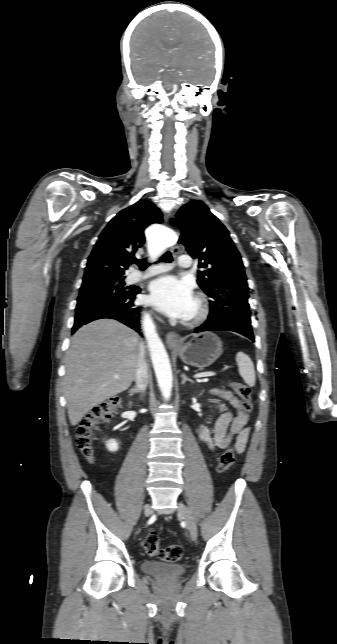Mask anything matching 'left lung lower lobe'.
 <instances>
[{"instance_id":"0a47b994","label":"left lung lower lobe","mask_w":337,"mask_h":644,"mask_svg":"<svg viewBox=\"0 0 337 644\" xmlns=\"http://www.w3.org/2000/svg\"><path fill=\"white\" fill-rule=\"evenodd\" d=\"M233 331L237 332L250 340L254 341V335L252 330L245 329L241 326H238L232 322L222 319H208L203 325L197 327L194 332H203V331Z\"/></svg>"}]
</instances>
